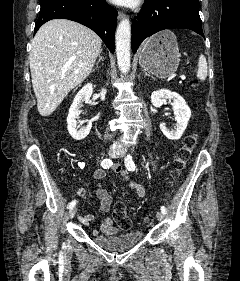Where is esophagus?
Listing matches in <instances>:
<instances>
[{
    "mask_svg": "<svg viewBox=\"0 0 240 281\" xmlns=\"http://www.w3.org/2000/svg\"><path fill=\"white\" fill-rule=\"evenodd\" d=\"M123 17H124V14H123L122 12H119V13H118V18H119V19H122Z\"/></svg>",
    "mask_w": 240,
    "mask_h": 281,
    "instance_id": "obj_1",
    "label": "esophagus"
}]
</instances>
